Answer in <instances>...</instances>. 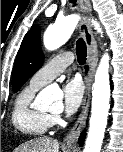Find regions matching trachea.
Masks as SVG:
<instances>
[{"mask_svg": "<svg viewBox=\"0 0 123 152\" xmlns=\"http://www.w3.org/2000/svg\"><path fill=\"white\" fill-rule=\"evenodd\" d=\"M71 3H75L76 0H69ZM76 54L80 65H83L86 61L87 48L83 39H78L76 43Z\"/></svg>", "mask_w": 123, "mask_h": 152, "instance_id": "trachea-1", "label": "trachea"}]
</instances>
